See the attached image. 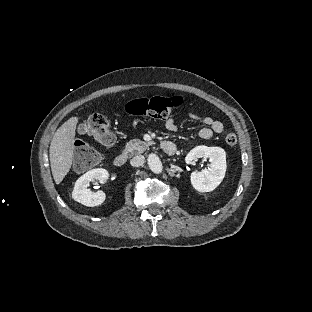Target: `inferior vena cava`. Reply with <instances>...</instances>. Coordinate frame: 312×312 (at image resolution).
Segmentation results:
<instances>
[{"mask_svg":"<svg viewBox=\"0 0 312 312\" xmlns=\"http://www.w3.org/2000/svg\"><path fill=\"white\" fill-rule=\"evenodd\" d=\"M144 160H145V158L143 155H137L130 160V164L133 167H139V166H142L144 164Z\"/></svg>","mask_w":312,"mask_h":312,"instance_id":"1","label":"inferior vena cava"}]
</instances>
